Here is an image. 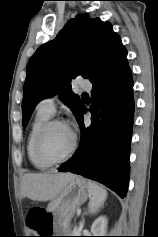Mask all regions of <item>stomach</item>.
Returning <instances> with one entry per match:
<instances>
[{
  "instance_id": "obj_1",
  "label": "stomach",
  "mask_w": 158,
  "mask_h": 237,
  "mask_svg": "<svg viewBox=\"0 0 158 237\" xmlns=\"http://www.w3.org/2000/svg\"><path fill=\"white\" fill-rule=\"evenodd\" d=\"M90 196V189L86 181L80 177L71 180L47 206L49 212L54 220V229L64 234L67 228H63L61 223L70 220L75 214L76 209L81 206Z\"/></svg>"
}]
</instances>
